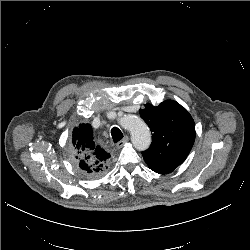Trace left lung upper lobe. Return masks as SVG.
<instances>
[{
  "instance_id": "obj_1",
  "label": "left lung upper lobe",
  "mask_w": 250,
  "mask_h": 250,
  "mask_svg": "<svg viewBox=\"0 0 250 250\" xmlns=\"http://www.w3.org/2000/svg\"><path fill=\"white\" fill-rule=\"evenodd\" d=\"M140 116L152 132L150 147L142 152L148 167L160 174L172 172L184 162L195 140V124L179 103L166 100L145 104Z\"/></svg>"
}]
</instances>
